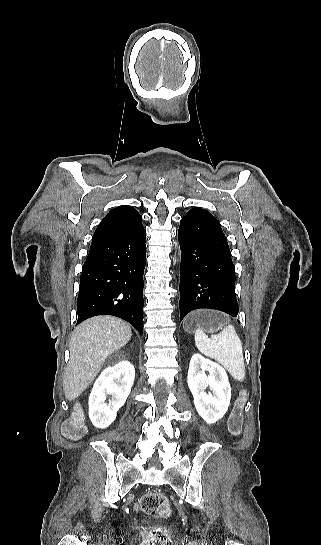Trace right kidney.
Returning <instances> with one entry per match:
<instances>
[{
    "label": "right kidney",
    "instance_id": "1",
    "mask_svg": "<svg viewBox=\"0 0 321 545\" xmlns=\"http://www.w3.org/2000/svg\"><path fill=\"white\" fill-rule=\"evenodd\" d=\"M135 379V369L128 361L107 367L93 385L89 397V417L97 429H106L123 407ZM110 395L109 403H105Z\"/></svg>",
    "mask_w": 321,
    "mask_h": 545
}]
</instances>
